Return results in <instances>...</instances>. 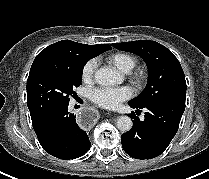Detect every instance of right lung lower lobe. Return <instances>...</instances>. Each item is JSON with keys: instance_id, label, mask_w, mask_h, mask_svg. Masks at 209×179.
Here are the masks:
<instances>
[{"instance_id": "right-lung-lower-lobe-1", "label": "right lung lower lobe", "mask_w": 209, "mask_h": 179, "mask_svg": "<svg viewBox=\"0 0 209 179\" xmlns=\"http://www.w3.org/2000/svg\"><path fill=\"white\" fill-rule=\"evenodd\" d=\"M69 103L60 105L32 122L42 148L59 159H74L90 148L89 138L68 112Z\"/></svg>"}]
</instances>
